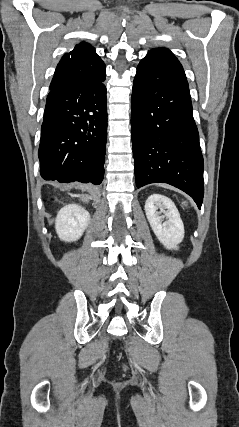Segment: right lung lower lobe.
Here are the masks:
<instances>
[{
	"mask_svg": "<svg viewBox=\"0 0 239 427\" xmlns=\"http://www.w3.org/2000/svg\"><path fill=\"white\" fill-rule=\"evenodd\" d=\"M105 76L104 71L50 89L38 151L43 179L102 182L107 140Z\"/></svg>",
	"mask_w": 239,
	"mask_h": 427,
	"instance_id": "obj_1",
	"label": "right lung lower lobe"
}]
</instances>
